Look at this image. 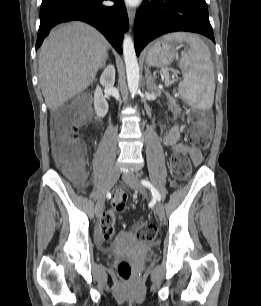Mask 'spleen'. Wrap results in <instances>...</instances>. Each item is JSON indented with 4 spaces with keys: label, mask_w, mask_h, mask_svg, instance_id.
Instances as JSON below:
<instances>
[{
    "label": "spleen",
    "mask_w": 261,
    "mask_h": 306,
    "mask_svg": "<svg viewBox=\"0 0 261 306\" xmlns=\"http://www.w3.org/2000/svg\"><path fill=\"white\" fill-rule=\"evenodd\" d=\"M163 38L166 41L186 42L190 46L179 61L183 76L179 92L189 105L200 110L210 109L214 102L215 77L208 47L190 33L175 32Z\"/></svg>",
    "instance_id": "obj_1"
}]
</instances>
